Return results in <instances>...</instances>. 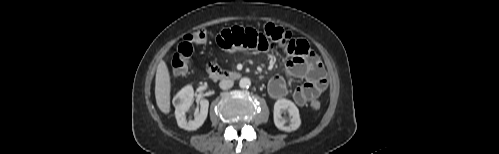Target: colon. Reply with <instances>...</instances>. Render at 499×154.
Returning <instances> with one entry per match:
<instances>
[{"instance_id":"1","label":"colon","mask_w":499,"mask_h":154,"mask_svg":"<svg viewBox=\"0 0 499 154\" xmlns=\"http://www.w3.org/2000/svg\"><path fill=\"white\" fill-rule=\"evenodd\" d=\"M262 31L270 40L279 44L286 43L291 37L290 32L272 23L264 24L262 26ZM205 37L206 33L204 31H199L188 34L183 38L172 56L171 68L174 74L182 75L187 72L193 57L194 43L203 41ZM209 69L221 70L215 64H211ZM311 107L314 111H318L321 108V103L318 100H313L311 102Z\"/></svg>"}]
</instances>
